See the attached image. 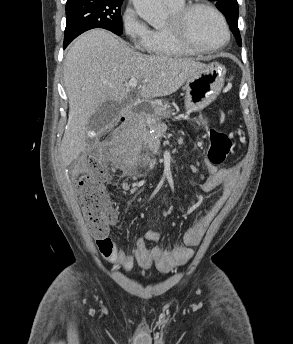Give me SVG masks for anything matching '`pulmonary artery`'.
Masks as SVG:
<instances>
[{"label": "pulmonary artery", "instance_id": "e3ab8cb5", "mask_svg": "<svg viewBox=\"0 0 293 344\" xmlns=\"http://www.w3.org/2000/svg\"><path fill=\"white\" fill-rule=\"evenodd\" d=\"M165 4H174L180 0H162Z\"/></svg>", "mask_w": 293, "mask_h": 344}]
</instances>
